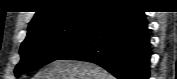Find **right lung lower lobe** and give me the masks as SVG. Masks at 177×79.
<instances>
[{"instance_id": "obj_1", "label": "right lung lower lobe", "mask_w": 177, "mask_h": 79, "mask_svg": "<svg viewBox=\"0 0 177 79\" xmlns=\"http://www.w3.org/2000/svg\"><path fill=\"white\" fill-rule=\"evenodd\" d=\"M150 56L144 12L115 6L106 9L89 35L59 59L98 64L118 79H148Z\"/></svg>"}]
</instances>
